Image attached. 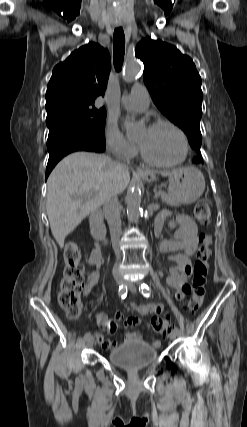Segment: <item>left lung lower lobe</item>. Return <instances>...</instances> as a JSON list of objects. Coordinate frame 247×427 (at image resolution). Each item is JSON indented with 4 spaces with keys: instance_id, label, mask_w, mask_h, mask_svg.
I'll use <instances>...</instances> for the list:
<instances>
[{
    "instance_id": "1",
    "label": "left lung lower lobe",
    "mask_w": 247,
    "mask_h": 427,
    "mask_svg": "<svg viewBox=\"0 0 247 427\" xmlns=\"http://www.w3.org/2000/svg\"><path fill=\"white\" fill-rule=\"evenodd\" d=\"M193 161H194L195 163H197V162H202V157H201V156H195V157H194V159H193Z\"/></svg>"
}]
</instances>
